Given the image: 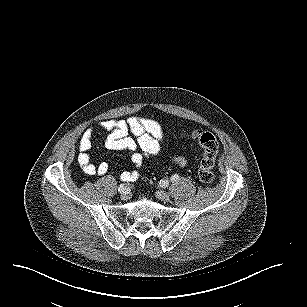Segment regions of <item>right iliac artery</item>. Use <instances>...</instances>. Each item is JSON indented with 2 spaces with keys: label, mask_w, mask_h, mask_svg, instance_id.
Returning a JSON list of instances; mask_svg holds the SVG:
<instances>
[{
  "label": "right iliac artery",
  "mask_w": 307,
  "mask_h": 307,
  "mask_svg": "<svg viewBox=\"0 0 307 307\" xmlns=\"http://www.w3.org/2000/svg\"><path fill=\"white\" fill-rule=\"evenodd\" d=\"M124 188H125V186L121 184V185L118 187V191H119V192H122V191H124Z\"/></svg>",
  "instance_id": "1"
}]
</instances>
